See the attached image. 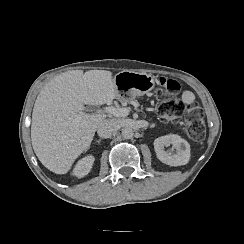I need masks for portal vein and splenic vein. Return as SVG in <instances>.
<instances>
[{"mask_svg":"<svg viewBox=\"0 0 244 244\" xmlns=\"http://www.w3.org/2000/svg\"><path fill=\"white\" fill-rule=\"evenodd\" d=\"M130 110L131 109L129 107H127V108H115L113 106H110V107L104 108V111L106 113L112 114L113 116H116V117H126L129 115ZM83 114H84L83 112H80L79 114H77L74 117V120L76 123H78L80 121Z\"/></svg>","mask_w":244,"mask_h":244,"instance_id":"portal-vein-and-splenic-vein-1","label":"portal vein and splenic vein"}]
</instances>
